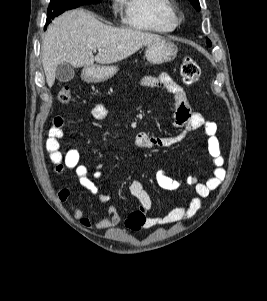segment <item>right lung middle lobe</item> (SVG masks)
Listing matches in <instances>:
<instances>
[{"mask_svg": "<svg viewBox=\"0 0 267 301\" xmlns=\"http://www.w3.org/2000/svg\"><path fill=\"white\" fill-rule=\"evenodd\" d=\"M98 2H100V0H50V4L47 10L46 25L49 24L52 19L62 14L66 10L74 9L81 5Z\"/></svg>", "mask_w": 267, "mask_h": 301, "instance_id": "1", "label": "right lung middle lobe"}]
</instances>
